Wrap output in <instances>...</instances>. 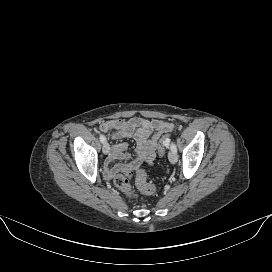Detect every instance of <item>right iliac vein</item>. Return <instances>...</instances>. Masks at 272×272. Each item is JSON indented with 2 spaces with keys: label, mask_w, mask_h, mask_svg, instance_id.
Instances as JSON below:
<instances>
[{
  "label": "right iliac vein",
  "mask_w": 272,
  "mask_h": 272,
  "mask_svg": "<svg viewBox=\"0 0 272 272\" xmlns=\"http://www.w3.org/2000/svg\"><path fill=\"white\" fill-rule=\"evenodd\" d=\"M109 150H110V146L108 144V142H104L103 143V147H102V151L104 154H108L109 153Z\"/></svg>",
  "instance_id": "63e3f726"
}]
</instances>
